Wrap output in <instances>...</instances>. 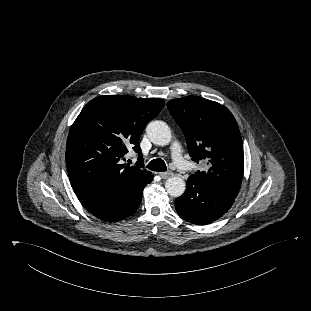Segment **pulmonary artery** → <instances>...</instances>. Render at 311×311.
I'll list each match as a JSON object with an SVG mask.
<instances>
[{
  "label": "pulmonary artery",
  "instance_id": "obj_1",
  "mask_svg": "<svg viewBox=\"0 0 311 311\" xmlns=\"http://www.w3.org/2000/svg\"><path fill=\"white\" fill-rule=\"evenodd\" d=\"M171 155L174 164L181 170L190 169V163L185 160L180 144L175 141L171 145Z\"/></svg>",
  "mask_w": 311,
  "mask_h": 311
}]
</instances>
